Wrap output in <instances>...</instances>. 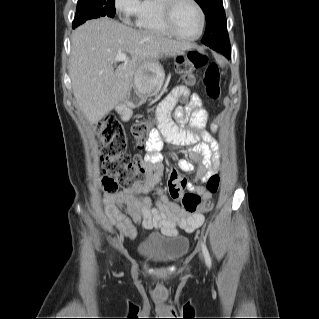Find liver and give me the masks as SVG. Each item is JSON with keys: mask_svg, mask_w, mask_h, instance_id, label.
Masks as SVG:
<instances>
[{"mask_svg": "<svg viewBox=\"0 0 319 319\" xmlns=\"http://www.w3.org/2000/svg\"><path fill=\"white\" fill-rule=\"evenodd\" d=\"M191 45L145 30H136L109 18L79 26L71 37L70 77L73 95L91 124H96L133 86V77L145 61L183 54ZM128 53L114 70L115 57Z\"/></svg>", "mask_w": 319, "mask_h": 319, "instance_id": "obj_1", "label": "liver"}]
</instances>
